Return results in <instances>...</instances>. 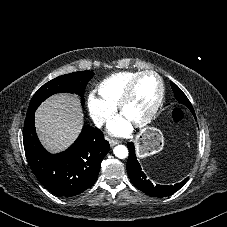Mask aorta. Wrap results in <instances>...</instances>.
Segmentation results:
<instances>
[{"instance_id": "obj_1", "label": "aorta", "mask_w": 227, "mask_h": 227, "mask_svg": "<svg viewBox=\"0 0 227 227\" xmlns=\"http://www.w3.org/2000/svg\"><path fill=\"white\" fill-rule=\"evenodd\" d=\"M114 155L119 159H125L128 156V149L124 145H118L113 149Z\"/></svg>"}]
</instances>
